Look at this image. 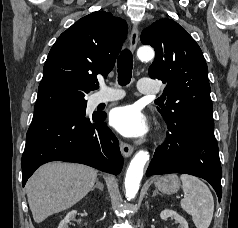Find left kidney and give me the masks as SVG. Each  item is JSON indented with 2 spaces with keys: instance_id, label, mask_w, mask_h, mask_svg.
Instances as JSON below:
<instances>
[{
  "instance_id": "obj_1",
  "label": "left kidney",
  "mask_w": 238,
  "mask_h": 228,
  "mask_svg": "<svg viewBox=\"0 0 238 228\" xmlns=\"http://www.w3.org/2000/svg\"><path fill=\"white\" fill-rule=\"evenodd\" d=\"M169 217L173 218L179 224L178 228H189L187 221L176 211L165 209L160 213L162 220H166Z\"/></svg>"
}]
</instances>
